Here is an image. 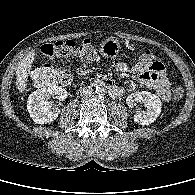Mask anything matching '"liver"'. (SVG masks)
<instances>
[{
  "label": "liver",
  "instance_id": "1",
  "mask_svg": "<svg viewBox=\"0 0 195 195\" xmlns=\"http://www.w3.org/2000/svg\"><path fill=\"white\" fill-rule=\"evenodd\" d=\"M35 52L31 51L27 56L20 61L17 71H16V85L20 92H24L26 89V81L29 71L32 67V62L34 61Z\"/></svg>",
  "mask_w": 195,
  "mask_h": 195
}]
</instances>
